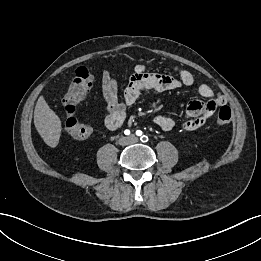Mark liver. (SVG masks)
<instances>
[{
  "label": "liver",
  "mask_w": 261,
  "mask_h": 261,
  "mask_svg": "<svg viewBox=\"0 0 261 261\" xmlns=\"http://www.w3.org/2000/svg\"><path fill=\"white\" fill-rule=\"evenodd\" d=\"M34 125L48 146L54 148L58 145L62 130L61 120L43 96L38 98L35 106Z\"/></svg>",
  "instance_id": "1"
}]
</instances>
